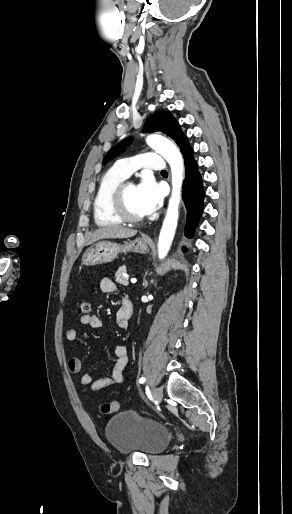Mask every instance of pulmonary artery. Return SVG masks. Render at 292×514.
I'll use <instances>...</instances> for the list:
<instances>
[{
	"instance_id": "1",
	"label": "pulmonary artery",
	"mask_w": 292,
	"mask_h": 514,
	"mask_svg": "<svg viewBox=\"0 0 292 514\" xmlns=\"http://www.w3.org/2000/svg\"><path fill=\"white\" fill-rule=\"evenodd\" d=\"M113 168L124 178H129L133 172H162L166 169L165 159L157 152L138 151L135 156H119Z\"/></svg>"
}]
</instances>
